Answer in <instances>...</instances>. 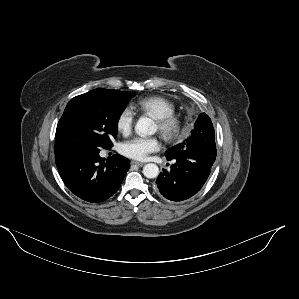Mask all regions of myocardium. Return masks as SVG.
Instances as JSON below:
<instances>
[{"label": "myocardium", "mask_w": 299, "mask_h": 299, "mask_svg": "<svg viewBox=\"0 0 299 299\" xmlns=\"http://www.w3.org/2000/svg\"><path fill=\"white\" fill-rule=\"evenodd\" d=\"M158 130L166 140L176 138L182 127L181 120L174 114L156 119Z\"/></svg>", "instance_id": "f54148a6"}]
</instances>
